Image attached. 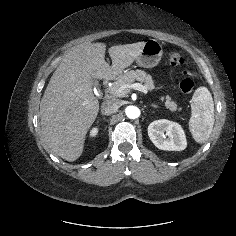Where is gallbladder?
I'll return each mask as SVG.
<instances>
[{
	"label": "gallbladder",
	"mask_w": 236,
	"mask_h": 236,
	"mask_svg": "<svg viewBox=\"0 0 236 236\" xmlns=\"http://www.w3.org/2000/svg\"><path fill=\"white\" fill-rule=\"evenodd\" d=\"M91 81L94 85H97V80L96 79H92Z\"/></svg>",
	"instance_id": "1"
}]
</instances>
